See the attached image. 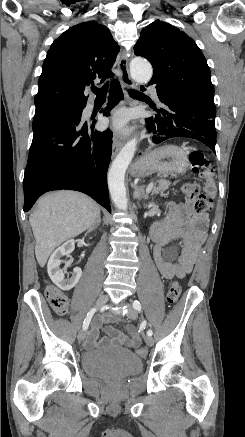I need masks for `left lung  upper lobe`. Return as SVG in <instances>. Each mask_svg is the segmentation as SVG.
Wrapping results in <instances>:
<instances>
[{
	"instance_id": "left-lung-upper-lobe-1",
	"label": "left lung upper lobe",
	"mask_w": 245,
	"mask_h": 437,
	"mask_svg": "<svg viewBox=\"0 0 245 437\" xmlns=\"http://www.w3.org/2000/svg\"><path fill=\"white\" fill-rule=\"evenodd\" d=\"M134 50L152 64L150 82L187 90L214 102L207 61L194 40L178 28L157 20L141 31Z\"/></svg>"
}]
</instances>
